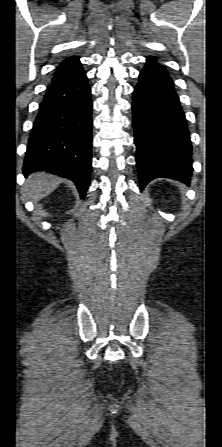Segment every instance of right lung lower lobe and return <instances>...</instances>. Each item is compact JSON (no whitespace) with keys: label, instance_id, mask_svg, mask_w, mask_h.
I'll use <instances>...</instances> for the list:
<instances>
[{"label":"right lung lower lobe","instance_id":"right-lung-lower-lobe-1","mask_svg":"<svg viewBox=\"0 0 222 447\" xmlns=\"http://www.w3.org/2000/svg\"><path fill=\"white\" fill-rule=\"evenodd\" d=\"M90 96L91 89L79 60L51 83L29 137L25 176L41 170L66 177L74 181L84 198L92 162Z\"/></svg>","mask_w":222,"mask_h":447}]
</instances>
